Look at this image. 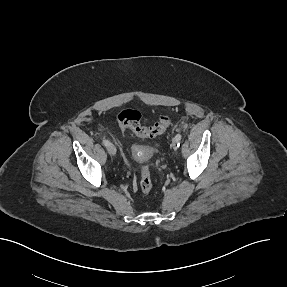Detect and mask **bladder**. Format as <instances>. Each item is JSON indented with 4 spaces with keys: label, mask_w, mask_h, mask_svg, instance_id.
Listing matches in <instances>:
<instances>
[{
    "label": "bladder",
    "mask_w": 287,
    "mask_h": 287,
    "mask_svg": "<svg viewBox=\"0 0 287 287\" xmlns=\"http://www.w3.org/2000/svg\"><path fill=\"white\" fill-rule=\"evenodd\" d=\"M141 150L144 152V156L142 158H139L138 155H137L136 149L133 148L132 154H133L134 158L136 160H148L150 158V156H151V153H152L151 149L143 148Z\"/></svg>",
    "instance_id": "31cf9c89"
}]
</instances>
